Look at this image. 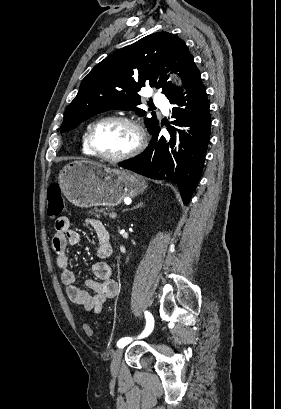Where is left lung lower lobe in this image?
Here are the masks:
<instances>
[{
  "instance_id": "obj_1",
  "label": "left lung lower lobe",
  "mask_w": 281,
  "mask_h": 409,
  "mask_svg": "<svg viewBox=\"0 0 281 409\" xmlns=\"http://www.w3.org/2000/svg\"><path fill=\"white\" fill-rule=\"evenodd\" d=\"M186 87L187 96L183 98L181 91L169 101L173 105L172 118L176 119L171 123L179 127L191 126L190 134L170 126L168 131L173 137L168 139L159 135L160 128L157 127L145 152L119 165L153 179H167L176 183L185 205L189 204L199 182L211 127L209 102L198 69ZM185 105L190 111L181 108ZM176 131L180 134L181 142L178 150L174 149Z\"/></svg>"
}]
</instances>
